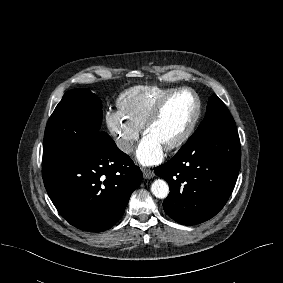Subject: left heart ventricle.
<instances>
[{
	"mask_svg": "<svg viewBox=\"0 0 283 283\" xmlns=\"http://www.w3.org/2000/svg\"><path fill=\"white\" fill-rule=\"evenodd\" d=\"M195 110L196 104L190 93L175 95L166 103L146 136L166 147L186 129Z\"/></svg>",
	"mask_w": 283,
	"mask_h": 283,
	"instance_id": "obj_1",
	"label": "left heart ventricle"
}]
</instances>
